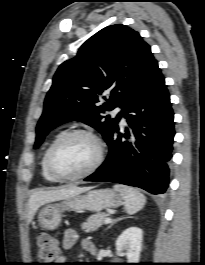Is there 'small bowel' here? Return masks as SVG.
<instances>
[{
    "mask_svg": "<svg viewBox=\"0 0 205 265\" xmlns=\"http://www.w3.org/2000/svg\"><path fill=\"white\" fill-rule=\"evenodd\" d=\"M76 240H77V233L75 230L73 229H68L65 231L64 235H63V239H62V247L65 249V250H68V249H71L74 244L76 243ZM90 245H93V243L89 240H84L82 242V247L87 251V248L90 246ZM65 260V257L64 256H61L59 258V261L60 262H63Z\"/></svg>",
    "mask_w": 205,
    "mask_h": 265,
    "instance_id": "c3829d8e",
    "label": "small bowel"
}]
</instances>
